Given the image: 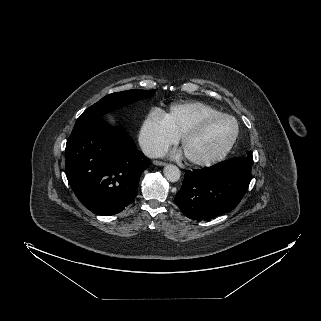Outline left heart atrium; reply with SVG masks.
<instances>
[{
	"label": "left heart atrium",
	"instance_id": "left-heart-atrium-1",
	"mask_svg": "<svg viewBox=\"0 0 321 321\" xmlns=\"http://www.w3.org/2000/svg\"><path fill=\"white\" fill-rule=\"evenodd\" d=\"M179 154H180V152H175V153H174V155H179Z\"/></svg>",
	"mask_w": 321,
	"mask_h": 321
}]
</instances>
